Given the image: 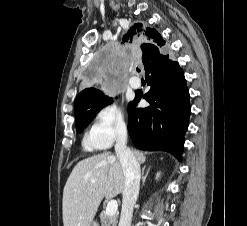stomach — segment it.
Instances as JSON below:
<instances>
[{"label": "stomach", "instance_id": "0dacf381", "mask_svg": "<svg viewBox=\"0 0 247 226\" xmlns=\"http://www.w3.org/2000/svg\"><path fill=\"white\" fill-rule=\"evenodd\" d=\"M90 226H97L95 223H93L92 225H90Z\"/></svg>", "mask_w": 247, "mask_h": 226}]
</instances>
